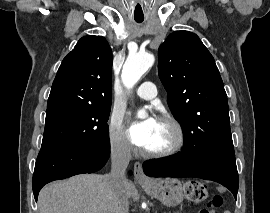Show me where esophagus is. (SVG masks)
<instances>
[{"instance_id":"34e87169","label":"esophagus","mask_w":270,"mask_h":213,"mask_svg":"<svg viewBox=\"0 0 270 213\" xmlns=\"http://www.w3.org/2000/svg\"><path fill=\"white\" fill-rule=\"evenodd\" d=\"M134 177L135 180L141 183H149L150 179L145 175L142 164L135 162L134 164Z\"/></svg>"}]
</instances>
